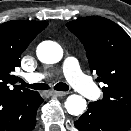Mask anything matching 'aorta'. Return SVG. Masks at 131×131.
<instances>
[{
	"label": "aorta",
	"instance_id": "1",
	"mask_svg": "<svg viewBox=\"0 0 131 131\" xmlns=\"http://www.w3.org/2000/svg\"><path fill=\"white\" fill-rule=\"evenodd\" d=\"M62 56V48L52 41H44L37 48V57L43 63H57L62 59ZM86 106V100L79 95H70L65 102L67 112L75 116L82 114Z\"/></svg>",
	"mask_w": 131,
	"mask_h": 131
}]
</instances>
